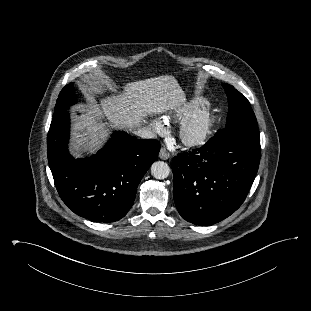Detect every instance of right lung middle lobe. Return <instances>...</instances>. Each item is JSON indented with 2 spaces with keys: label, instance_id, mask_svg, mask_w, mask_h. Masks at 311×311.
<instances>
[{
  "label": "right lung middle lobe",
  "instance_id": "right-lung-middle-lobe-1",
  "mask_svg": "<svg viewBox=\"0 0 311 311\" xmlns=\"http://www.w3.org/2000/svg\"><path fill=\"white\" fill-rule=\"evenodd\" d=\"M75 103L76 96L74 91V84H68L62 89L59 94L53 118L62 113L63 111L67 110L70 105H73Z\"/></svg>",
  "mask_w": 311,
  "mask_h": 311
}]
</instances>
